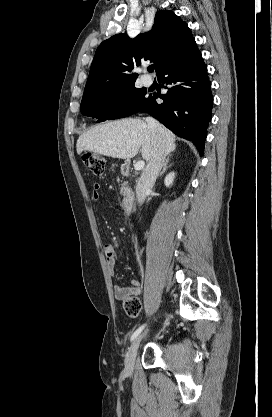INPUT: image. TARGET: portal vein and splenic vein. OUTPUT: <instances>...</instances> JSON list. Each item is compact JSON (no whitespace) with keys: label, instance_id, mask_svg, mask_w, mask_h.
I'll return each mask as SVG.
<instances>
[{"label":"portal vein and splenic vein","instance_id":"portal-vein-and-splenic-vein-1","mask_svg":"<svg viewBox=\"0 0 272 417\" xmlns=\"http://www.w3.org/2000/svg\"><path fill=\"white\" fill-rule=\"evenodd\" d=\"M144 165H145V162L143 160L138 161L137 163H135L134 169L136 171H140V170H142L144 168Z\"/></svg>","mask_w":272,"mask_h":417}]
</instances>
